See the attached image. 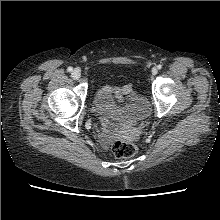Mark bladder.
I'll return each instance as SVG.
<instances>
[{
    "mask_svg": "<svg viewBox=\"0 0 220 220\" xmlns=\"http://www.w3.org/2000/svg\"><path fill=\"white\" fill-rule=\"evenodd\" d=\"M110 98V93L105 85H98L92 94V101L97 106H102ZM150 114V106L143 95L137 96L136 100L124 111H114L113 120L120 125L132 124L144 120Z\"/></svg>",
    "mask_w": 220,
    "mask_h": 220,
    "instance_id": "31cf9c89",
    "label": "bladder"
}]
</instances>
